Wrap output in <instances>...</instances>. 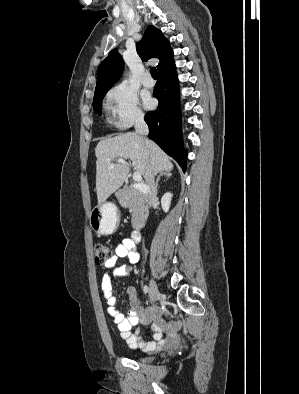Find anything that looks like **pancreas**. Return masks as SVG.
Here are the masks:
<instances>
[{
  "mask_svg": "<svg viewBox=\"0 0 299 394\" xmlns=\"http://www.w3.org/2000/svg\"><path fill=\"white\" fill-rule=\"evenodd\" d=\"M122 197V205L128 207L132 212V226L133 228H139L138 220L143 218L147 212L145 202L141 197V194L136 190L124 189L122 192L117 194Z\"/></svg>",
  "mask_w": 299,
  "mask_h": 394,
  "instance_id": "cf45deb5",
  "label": "pancreas"
}]
</instances>
